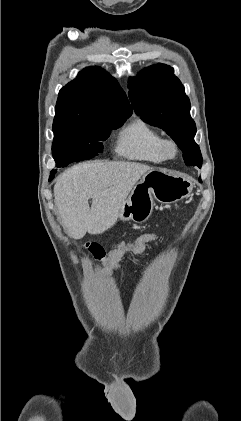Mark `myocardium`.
I'll use <instances>...</instances> for the list:
<instances>
[{
	"mask_svg": "<svg viewBox=\"0 0 241 421\" xmlns=\"http://www.w3.org/2000/svg\"><path fill=\"white\" fill-rule=\"evenodd\" d=\"M161 151L166 159H171L178 154L179 147L174 139L163 138L161 142Z\"/></svg>",
	"mask_w": 241,
	"mask_h": 421,
	"instance_id": "f54148a6",
	"label": "myocardium"
}]
</instances>
